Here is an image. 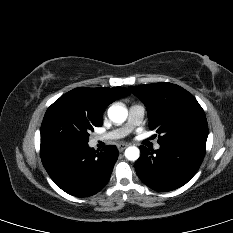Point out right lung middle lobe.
I'll return each mask as SVG.
<instances>
[{"mask_svg": "<svg viewBox=\"0 0 233 233\" xmlns=\"http://www.w3.org/2000/svg\"><path fill=\"white\" fill-rule=\"evenodd\" d=\"M101 125L102 119L87 115L69 99L61 96L45 113L41 125V143L60 141L86 144L89 132Z\"/></svg>", "mask_w": 233, "mask_h": 233, "instance_id": "1", "label": "right lung middle lobe"}]
</instances>
